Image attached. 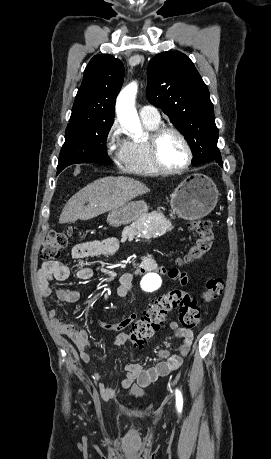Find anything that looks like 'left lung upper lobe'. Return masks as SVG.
I'll use <instances>...</instances> for the list:
<instances>
[{"label":"left lung upper lobe","instance_id":"left-lung-upper-lobe-1","mask_svg":"<svg viewBox=\"0 0 271 459\" xmlns=\"http://www.w3.org/2000/svg\"><path fill=\"white\" fill-rule=\"evenodd\" d=\"M146 95L188 140L193 166L221 159L208 88L185 54L167 51L151 59Z\"/></svg>","mask_w":271,"mask_h":459}]
</instances>
